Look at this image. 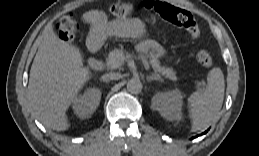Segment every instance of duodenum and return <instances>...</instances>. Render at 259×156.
<instances>
[{"label":"duodenum","instance_id":"duodenum-1","mask_svg":"<svg viewBox=\"0 0 259 156\" xmlns=\"http://www.w3.org/2000/svg\"><path fill=\"white\" fill-rule=\"evenodd\" d=\"M91 47L93 49H97L99 47V43L95 42ZM88 65L93 70H100L103 67V62L100 59L91 58L88 61Z\"/></svg>","mask_w":259,"mask_h":156}]
</instances>
